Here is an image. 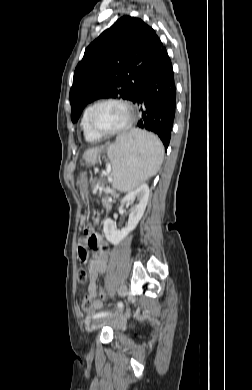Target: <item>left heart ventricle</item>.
<instances>
[{"label":"left heart ventricle","mask_w":252,"mask_h":390,"mask_svg":"<svg viewBox=\"0 0 252 390\" xmlns=\"http://www.w3.org/2000/svg\"><path fill=\"white\" fill-rule=\"evenodd\" d=\"M128 120V111L120 104L100 105L94 115L95 125L103 131H112L123 126Z\"/></svg>","instance_id":"obj_1"}]
</instances>
